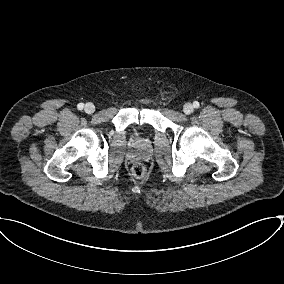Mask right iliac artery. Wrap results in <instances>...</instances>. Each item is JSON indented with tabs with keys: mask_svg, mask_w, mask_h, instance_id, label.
Here are the masks:
<instances>
[{
	"mask_svg": "<svg viewBox=\"0 0 284 284\" xmlns=\"http://www.w3.org/2000/svg\"><path fill=\"white\" fill-rule=\"evenodd\" d=\"M77 108H78L79 110H82V109L84 108V104H83V103H79V104L77 105Z\"/></svg>",
	"mask_w": 284,
	"mask_h": 284,
	"instance_id": "right-iliac-artery-1",
	"label": "right iliac artery"
}]
</instances>
